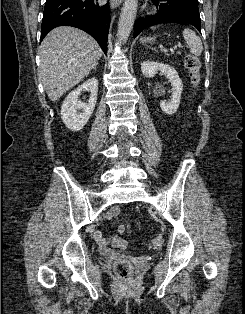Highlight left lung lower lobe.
<instances>
[{"mask_svg":"<svg viewBox=\"0 0 245 314\" xmlns=\"http://www.w3.org/2000/svg\"><path fill=\"white\" fill-rule=\"evenodd\" d=\"M159 7V11L155 16L139 18L135 22L134 37L141 33L146 27L161 23H189L195 26L201 32V20L199 11L188 7H179L171 9L168 0H152Z\"/></svg>","mask_w":245,"mask_h":314,"instance_id":"0a47b994","label":"left lung lower lobe"}]
</instances>
